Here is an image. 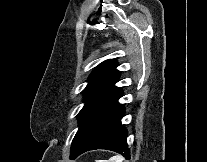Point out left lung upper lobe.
Returning <instances> with one entry per match:
<instances>
[{
	"instance_id": "left-lung-upper-lobe-1",
	"label": "left lung upper lobe",
	"mask_w": 207,
	"mask_h": 162,
	"mask_svg": "<svg viewBox=\"0 0 207 162\" xmlns=\"http://www.w3.org/2000/svg\"><path fill=\"white\" fill-rule=\"evenodd\" d=\"M117 63L106 60L99 64L88 78V85L84 89L85 105L78 114L79 129L73 139L77 138L91 115L120 88L114 84L119 78Z\"/></svg>"
}]
</instances>
